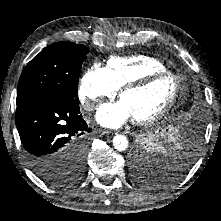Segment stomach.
<instances>
[{
    "mask_svg": "<svg viewBox=\"0 0 221 221\" xmlns=\"http://www.w3.org/2000/svg\"><path fill=\"white\" fill-rule=\"evenodd\" d=\"M167 142H169V140H168V138L166 136V138L164 139L163 145H165V143H167Z\"/></svg>",
    "mask_w": 221,
    "mask_h": 221,
    "instance_id": "0dacf381",
    "label": "stomach"
}]
</instances>
